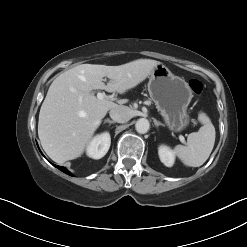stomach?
Here are the masks:
<instances>
[{"label":"stomach","instance_id":"stomach-1","mask_svg":"<svg viewBox=\"0 0 247 247\" xmlns=\"http://www.w3.org/2000/svg\"><path fill=\"white\" fill-rule=\"evenodd\" d=\"M148 91L170 130L181 132L188 126L190 116L187 108L193 94L184 79L160 63L150 74Z\"/></svg>","mask_w":247,"mask_h":247}]
</instances>
